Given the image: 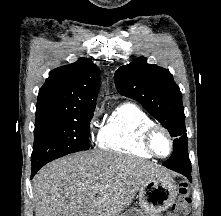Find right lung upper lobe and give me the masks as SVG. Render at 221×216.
Segmentation results:
<instances>
[{"label":"right lung upper lobe","instance_id":"cb5924a9","mask_svg":"<svg viewBox=\"0 0 221 216\" xmlns=\"http://www.w3.org/2000/svg\"><path fill=\"white\" fill-rule=\"evenodd\" d=\"M99 87V69L87 58L52 70L39 90L36 123L94 110Z\"/></svg>","mask_w":221,"mask_h":216}]
</instances>
